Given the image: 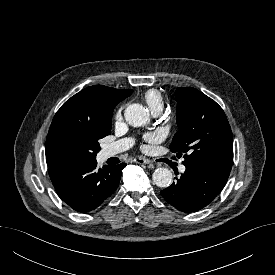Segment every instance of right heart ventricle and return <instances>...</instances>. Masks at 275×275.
<instances>
[{
	"label": "right heart ventricle",
	"instance_id": "e07e8e85",
	"mask_svg": "<svg viewBox=\"0 0 275 275\" xmlns=\"http://www.w3.org/2000/svg\"><path fill=\"white\" fill-rule=\"evenodd\" d=\"M144 100L147 103L150 110L156 107L163 108V97L159 91L155 89H150L145 92Z\"/></svg>",
	"mask_w": 275,
	"mask_h": 275
}]
</instances>
